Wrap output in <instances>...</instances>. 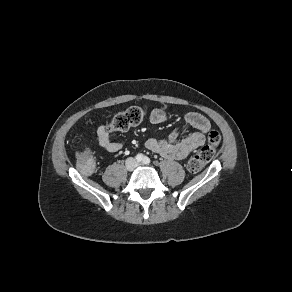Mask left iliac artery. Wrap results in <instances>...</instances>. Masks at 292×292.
Here are the masks:
<instances>
[{
	"label": "left iliac artery",
	"instance_id": "obj_1",
	"mask_svg": "<svg viewBox=\"0 0 292 292\" xmlns=\"http://www.w3.org/2000/svg\"><path fill=\"white\" fill-rule=\"evenodd\" d=\"M143 163H144V164H149V163H150V158L147 157V156H145V157L143 158Z\"/></svg>",
	"mask_w": 292,
	"mask_h": 292
}]
</instances>
